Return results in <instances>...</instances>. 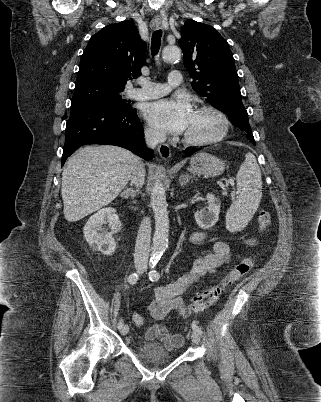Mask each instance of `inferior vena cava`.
<instances>
[{"label": "inferior vena cava", "mask_w": 321, "mask_h": 402, "mask_svg": "<svg viewBox=\"0 0 321 402\" xmlns=\"http://www.w3.org/2000/svg\"><path fill=\"white\" fill-rule=\"evenodd\" d=\"M166 135L162 131L147 129L145 131V142L147 146L154 149L156 145L164 141ZM131 183L137 188L142 187L145 180V170L143 165L140 163L131 175ZM150 241H151V221L150 218H144L141 221L134 253V263L137 267L147 268L149 252H150Z\"/></svg>", "instance_id": "1"}]
</instances>
